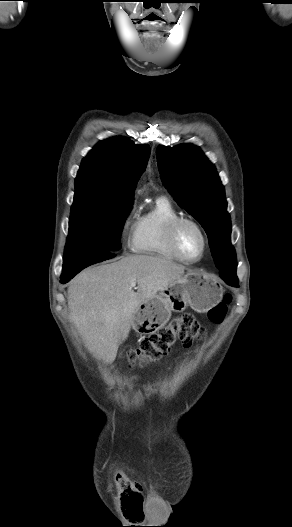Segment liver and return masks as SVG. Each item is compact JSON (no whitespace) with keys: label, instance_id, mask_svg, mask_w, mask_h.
<instances>
[{"label":"liver","instance_id":"obj_1","mask_svg":"<svg viewBox=\"0 0 292 527\" xmlns=\"http://www.w3.org/2000/svg\"><path fill=\"white\" fill-rule=\"evenodd\" d=\"M185 266L156 256L129 255L88 268L69 283V320L87 349L112 363L128 338L138 306L184 275ZM137 283V292L131 282Z\"/></svg>","mask_w":292,"mask_h":527}]
</instances>
